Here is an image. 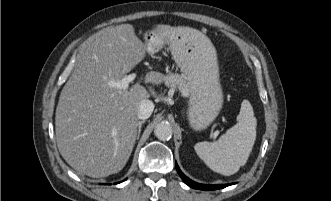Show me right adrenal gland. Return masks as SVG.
<instances>
[{"label":"right adrenal gland","instance_id":"obj_1","mask_svg":"<svg viewBox=\"0 0 331 201\" xmlns=\"http://www.w3.org/2000/svg\"><path fill=\"white\" fill-rule=\"evenodd\" d=\"M145 121H140L138 123V133H137V139H139V136H140V133H141V127H142V124H144Z\"/></svg>","mask_w":331,"mask_h":201}]
</instances>
